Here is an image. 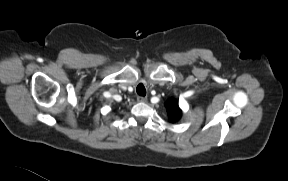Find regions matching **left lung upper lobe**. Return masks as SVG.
<instances>
[{
    "instance_id": "obj_1",
    "label": "left lung upper lobe",
    "mask_w": 288,
    "mask_h": 181,
    "mask_svg": "<svg viewBox=\"0 0 288 181\" xmlns=\"http://www.w3.org/2000/svg\"><path fill=\"white\" fill-rule=\"evenodd\" d=\"M169 120L171 122H177L181 117V109L179 108L175 99L168 100L166 102Z\"/></svg>"
}]
</instances>
